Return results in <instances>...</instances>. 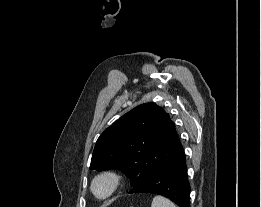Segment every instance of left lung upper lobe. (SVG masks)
<instances>
[{"label": "left lung upper lobe", "instance_id": "obj_1", "mask_svg": "<svg viewBox=\"0 0 261 207\" xmlns=\"http://www.w3.org/2000/svg\"><path fill=\"white\" fill-rule=\"evenodd\" d=\"M182 150L169 114L153 102L144 103L124 114L100 135L90 168L121 170L134 187Z\"/></svg>", "mask_w": 261, "mask_h": 207}]
</instances>
